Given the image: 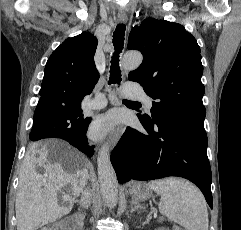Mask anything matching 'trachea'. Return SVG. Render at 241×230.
<instances>
[{"label": "trachea", "mask_w": 241, "mask_h": 230, "mask_svg": "<svg viewBox=\"0 0 241 230\" xmlns=\"http://www.w3.org/2000/svg\"><path fill=\"white\" fill-rule=\"evenodd\" d=\"M125 30H126V28H125L124 24H118L113 33V45L115 47V53H114V55L112 57V61H111L109 84L120 83V81H121V71L119 69V60H118L119 55L118 54L123 49ZM124 102L135 103V102L127 101V100H124Z\"/></svg>", "instance_id": "obj_1"}]
</instances>
